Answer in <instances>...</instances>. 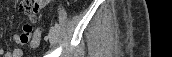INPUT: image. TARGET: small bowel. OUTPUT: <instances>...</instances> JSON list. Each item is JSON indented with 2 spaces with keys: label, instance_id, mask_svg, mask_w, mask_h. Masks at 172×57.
I'll list each match as a JSON object with an SVG mask.
<instances>
[{
  "label": "small bowel",
  "instance_id": "1",
  "mask_svg": "<svg viewBox=\"0 0 172 57\" xmlns=\"http://www.w3.org/2000/svg\"><path fill=\"white\" fill-rule=\"evenodd\" d=\"M49 1L46 0H35V1H23L22 5L27 9V16L29 22L24 24L22 27V32L20 34L14 33L10 30V37L12 41L19 46L30 44L32 48L39 46L41 41V33L38 31H33V24L37 22L36 13L44 8ZM22 49L20 47L14 49L13 51H6L0 47V56L2 57H21Z\"/></svg>",
  "mask_w": 172,
  "mask_h": 57
}]
</instances>
